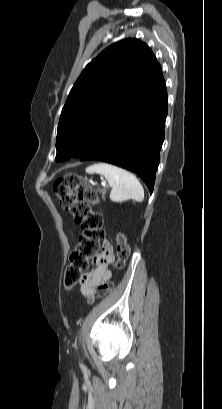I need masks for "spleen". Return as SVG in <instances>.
Returning <instances> with one entry per match:
<instances>
[{
  "label": "spleen",
  "mask_w": 222,
  "mask_h": 409,
  "mask_svg": "<svg viewBox=\"0 0 222 409\" xmlns=\"http://www.w3.org/2000/svg\"><path fill=\"white\" fill-rule=\"evenodd\" d=\"M88 174H99L107 180L112 190L110 199L113 202H123L132 199L136 202H142L144 199V190L139 180L130 172L108 164L97 163L85 169Z\"/></svg>",
  "instance_id": "obj_1"
}]
</instances>
